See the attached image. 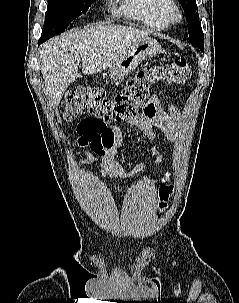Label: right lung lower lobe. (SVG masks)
<instances>
[{
  "mask_svg": "<svg viewBox=\"0 0 239 303\" xmlns=\"http://www.w3.org/2000/svg\"><path fill=\"white\" fill-rule=\"evenodd\" d=\"M49 39L48 36H45V35H42L39 42H38V45H40V43L44 42L45 40Z\"/></svg>",
  "mask_w": 239,
  "mask_h": 303,
  "instance_id": "98d812e1",
  "label": "right lung lower lobe"
}]
</instances>
